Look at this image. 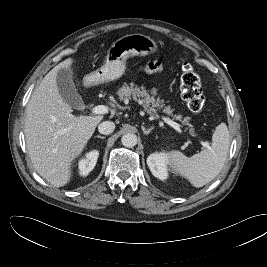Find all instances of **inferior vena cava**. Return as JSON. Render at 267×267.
Returning <instances> with one entry per match:
<instances>
[{"label": "inferior vena cava", "mask_w": 267, "mask_h": 267, "mask_svg": "<svg viewBox=\"0 0 267 267\" xmlns=\"http://www.w3.org/2000/svg\"><path fill=\"white\" fill-rule=\"evenodd\" d=\"M115 129V124L112 121H104L99 124L98 131L101 134L108 135L111 134Z\"/></svg>", "instance_id": "602c4592"}]
</instances>
